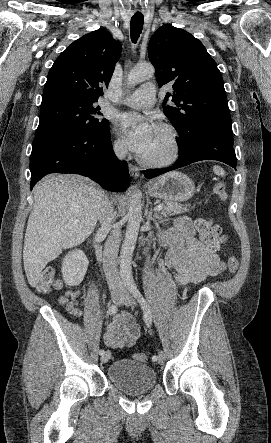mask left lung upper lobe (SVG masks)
<instances>
[{
  "mask_svg": "<svg viewBox=\"0 0 271 443\" xmlns=\"http://www.w3.org/2000/svg\"><path fill=\"white\" fill-rule=\"evenodd\" d=\"M148 56L160 87L171 83L175 107L163 103L164 113L179 136L206 119L231 123L222 75L204 45L190 33L170 24L151 37Z\"/></svg>",
  "mask_w": 271,
  "mask_h": 443,
  "instance_id": "1",
  "label": "left lung upper lobe"
}]
</instances>
